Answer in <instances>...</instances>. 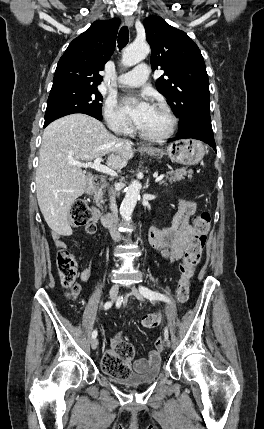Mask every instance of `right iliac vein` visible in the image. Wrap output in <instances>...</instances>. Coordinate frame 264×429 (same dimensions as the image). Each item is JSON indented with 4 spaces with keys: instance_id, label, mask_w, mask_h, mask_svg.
Masks as SVG:
<instances>
[{
    "instance_id": "1",
    "label": "right iliac vein",
    "mask_w": 264,
    "mask_h": 429,
    "mask_svg": "<svg viewBox=\"0 0 264 429\" xmlns=\"http://www.w3.org/2000/svg\"><path fill=\"white\" fill-rule=\"evenodd\" d=\"M118 291H119V285L118 284H113V286L111 287L110 292H109V296H110V299L112 301H114L117 298ZM97 346H98V339L97 338H93L92 341H91V348L93 350H95L97 348Z\"/></svg>"
}]
</instances>
